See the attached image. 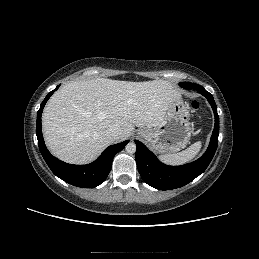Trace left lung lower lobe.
Instances as JSON below:
<instances>
[{
  "label": "left lung lower lobe",
  "mask_w": 259,
  "mask_h": 259,
  "mask_svg": "<svg viewBox=\"0 0 259 259\" xmlns=\"http://www.w3.org/2000/svg\"><path fill=\"white\" fill-rule=\"evenodd\" d=\"M196 90L207 98L215 116L210 144L201 158L182 166H167L162 164L143 143L135 140L137 146L135 158L138 171L148 185L158 190H170L188 184L205 171L216 152L219 136L217 106L213 96L202 86H198Z\"/></svg>",
  "instance_id": "obj_1"
}]
</instances>
